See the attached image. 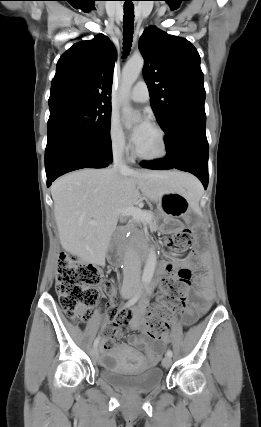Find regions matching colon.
Instances as JSON below:
<instances>
[{"mask_svg": "<svg viewBox=\"0 0 261 427\" xmlns=\"http://www.w3.org/2000/svg\"><path fill=\"white\" fill-rule=\"evenodd\" d=\"M171 250L181 252L191 243V231L182 229L166 240ZM191 272L186 268H172L164 280V293L145 322L147 333L158 338L172 325L174 316L184 313ZM105 285L103 269L82 261L74 254L62 253L55 289L65 314L75 323L88 320L98 302L99 290Z\"/></svg>", "mask_w": 261, "mask_h": 427, "instance_id": "5ec220e1", "label": "colon"}]
</instances>
